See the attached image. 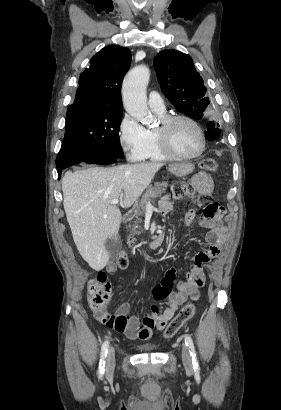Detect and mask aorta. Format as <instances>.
<instances>
[{
    "instance_id": "762f6f07",
    "label": "aorta",
    "mask_w": 281,
    "mask_h": 410,
    "mask_svg": "<svg viewBox=\"0 0 281 410\" xmlns=\"http://www.w3.org/2000/svg\"><path fill=\"white\" fill-rule=\"evenodd\" d=\"M149 79V68L140 65L126 75L122 87L123 104L126 111L145 125L152 122L146 97V87Z\"/></svg>"
}]
</instances>
